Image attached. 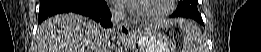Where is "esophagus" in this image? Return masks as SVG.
<instances>
[{
    "label": "esophagus",
    "mask_w": 261,
    "mask_h": 52,
    "mask_svg": "<svg viewBox=\"0 0 261 52\" xmlns=\"http://www.w3.org/2000/svg\"><path fill=\"white\" fill-rule=\"evenodd\" d=\"M118 32L122 39H126L133 34V28L129 23L123 22L119 25Z\"/></svg>",
    "instance_id": "1"
}]
</instances>
